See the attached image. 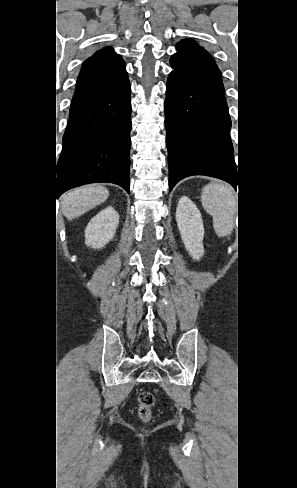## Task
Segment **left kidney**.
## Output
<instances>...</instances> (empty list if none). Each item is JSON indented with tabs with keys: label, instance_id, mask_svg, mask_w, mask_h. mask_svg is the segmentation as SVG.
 I'll return each instance as SVG.
<instances>
[{
	"label": "left kidney",
	"instance_id": "5707ae66",
	"mask_svg": "<svg viewBox=\"0 0 297 488\" xmlns=\"http://www.w3.org/2000/svg\"><path fill=\"white\" fill-rule=\"evenodd\" d=\"M176 221L181 239L193 259L199 260L204 253V226L201 213L187 196H182L176 209Z\"/></svg>",
	"mask_w": 297,
	"mask_h": 488
}]
</instances>
